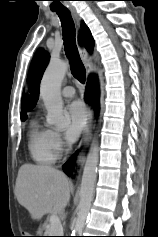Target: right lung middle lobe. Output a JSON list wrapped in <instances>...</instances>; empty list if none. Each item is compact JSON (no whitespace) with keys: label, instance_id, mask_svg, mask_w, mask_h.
Returning <instances> with one entry per match:
<instances>
[{"label":"right lung middle lobe","instance_id":"dd1d6c3e","mask_svg":"<svg viewBox=\"0 0 158 237\" xmlns=\"http://www.w3.org/2000/svg\"><path fill=\"white\" fill-rule=\"evenodd\" d=\"M26 118H27V116H21V120H22V121H25Z\"/></svg>","mask_w":158,"mask_h":237}]
</instances>
